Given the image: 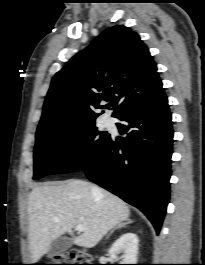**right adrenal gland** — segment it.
Here are the masks:
<instances>
[{
	"instance_id": "right-adrenal-gland-1",
	"label": "right adrenal gland",
	"mask_w": 205,
	"mask_h": 265,
	"mask_svg": "<svg viewBox=\"0 0 205 265\" xmlns=\"http://www.w3.org/2000/svg\"><path fill=\"white\" fill-rule=\"evenodd\" d=\"M132 221L131 220H127L126 222L120 223L118 224L116 227H114L110 233L108 234V236L106 238H108L115 230L126 227L127 225L131 224Z\"/></svg>"
}]
</instances>
